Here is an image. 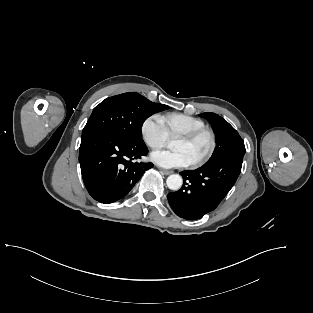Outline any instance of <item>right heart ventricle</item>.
I'll list each match as a JSON object with an SVG mask.
<instances>
[{
	"label": "right heart ventricle",
	"mask_w": 313,
	"mask_h": 313,
	"mask_svg": "<svg viewBox=\"0 0 313 313\" xmlns=\"http://www.w3.org/2000/svg\"><path fill=\"white\" fill-rule=\"evenodd\" d=\"M161 119L169 136L172 137L206 127L202 119L182 113H168L161 116Z\"/></svg>",
	"instance_id": "1"
}]
</instances>
